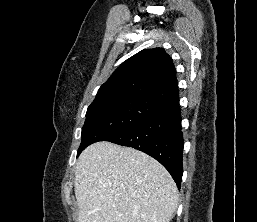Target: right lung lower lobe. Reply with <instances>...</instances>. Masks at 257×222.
<instances>
[{
    "label": "right lung lower lobe",
    "mask_w": 257,
    "mask_h": 222,
    "mask_svg": "<svg viewBox=\"0 0 257 222\" xmlns=\"http://www.w3.org/2000/svg\"><path fill=\"white\" fill-rule=\"evenodd\" d=\"M106 141L133 147L155 158L168 170L180 189L184 141L178 100L162 106Z\"/></svg>",
    "instance_id": "obj_1"
}]
</instances>
